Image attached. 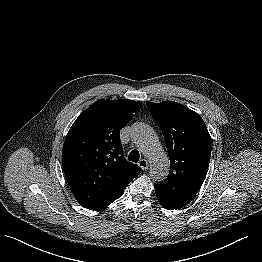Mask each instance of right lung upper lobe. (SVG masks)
<instances>
[{"instance_id": "cb5924a9", "label": "right lung upper lobe", "mask_w": 262, "mask_h": 262, "mask_svg": "<svg viewBox=\"0 0 262 262\" xmlns=\"http://www.w3.org/2000/svg\"><path fill=\"white\" fill-rule=\"evenodd\" d=\"M142 104L133 100H97L71 126L62 151L63 169L77 199L90 210L118 199L141 168L126 161L120 130Z\"/></svg>"}]
</instances>
